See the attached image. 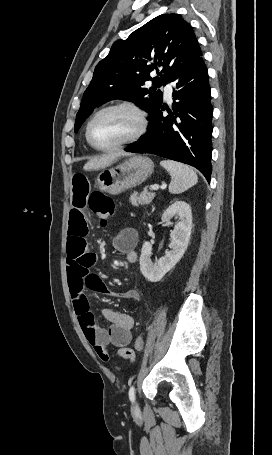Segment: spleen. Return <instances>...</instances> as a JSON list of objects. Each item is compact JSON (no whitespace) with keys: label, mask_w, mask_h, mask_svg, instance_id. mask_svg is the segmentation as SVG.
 <instances>
[{"label":"spleen","mask_w":272,"mask_h":455,"mask_svg":"<svg viewBox=\"0 0 272 455\" xmlns=\"http://www.w3.org/2000/svg\"><path fill=\"white\" fill-rule=\"evenodd\" d=\"M160 164L171 176L169 192L172 194H180L194 186L198 181V177L193 169L185 164L171 160H163Z\"/></svg>","instance_id":"1"}]
</instances>
